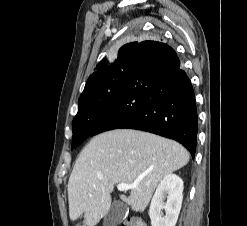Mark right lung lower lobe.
<instances>
[{"instance_id": "98d812e1", "label": "right lung lower lobe", "mask_w": 247, "mask_h": 226, "mask_svg": "<svg viewBox=\"0 0 247 226\" xmlns=\"http://www.w3.org/2000/svg\"><path fill=\"white\" fill-rule=\"evenodd\" d=\"M117 128L174 139L194 158L196 101L191 81L172 47L153 40L137 44L121 88L91 136Z\"/></svg>"}]
</instances>
